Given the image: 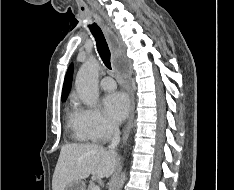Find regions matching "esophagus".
<instances>
[{"instance_id":"esophagus-1","label":"esophagus","mask_w":234,"mask_h":190,"mask_svg":"<svg viewBox=\"0 0 234 190\" xmlns=\"http://www.w3.org/2000/svg\"><path fill=\"white\" fill-rule=\"evenodd\" d=\"M103 29L111 46H116V38L113 32L106 26H104ZM130 96H131V110H130L129 120L127 122V125L123 133V143H125L129 137L134 119L135 100H134V93L132 90L130 91Z\"/></svg>"}]
</instances>
